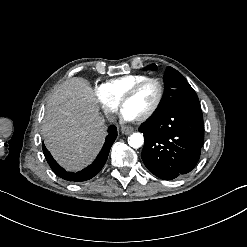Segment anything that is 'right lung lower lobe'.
Masks as SVG:
<instances>
[{
    "mask_svg": "<svg viewBox=\"0 0 247 247\" xmlns=\"http://www.w3.org/2000/svg\"><path fill=\"white\" fill-rule=\"evenodd\" d=\"M116 137H117V129L115 126L112 125L108 129V136L106 137L104 146L101 152L99 153V155L97 156L96 160L90 166L86 167L85 169L77 173L67 172L62 167H60L58 163L53 159L50 152L46 149L44 144H42L43 153L51 169L60 178L67 180V181H73V182L86 181V180L93 178L103 168V166L105 165L107 161L110 148L112 144L114 143Z\"/></svg>",
    "mask_w": 247,
    "mask_h": 247,
    "instance_id": "obj_1",
    "label": "right lung lower lobe"
}]
</instances>
